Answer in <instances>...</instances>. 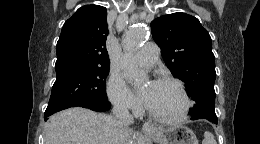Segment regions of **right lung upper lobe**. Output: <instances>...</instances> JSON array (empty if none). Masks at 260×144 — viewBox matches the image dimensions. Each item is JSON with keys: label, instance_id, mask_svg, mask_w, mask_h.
Here are the masks:
<instances>
[{"label": "right lung upper lobe", "instance_id": "cb5924a9", "mask_svg": "<svg viewBox=\"0 0 260 144\" xmlns=\"http://www.w3.org/2000/svg\"><path fill=\"white\" fill-rule=\"evenodd\" d=\"M107 10L99 5L79 8L63 25L57 42L55 68L62 66H109L105 41Z\"/></svg>", "mask_w": 260, "mask_h": 144}]
</instances>
